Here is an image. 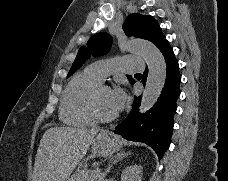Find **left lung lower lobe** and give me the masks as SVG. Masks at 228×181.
<instances>
[{
    "label": "left lung lower lobe",
    "mask_w": 228,
    "mask_h": 181,
    "mask_svg": "<svg viewBox=\"0 0 228 181\" xmlns=\"http://www.w3.org/2000/svg\"><path fill=\"white\" fill-rule=\"evenodd\" d=\"M156 46L162 52L167 68L166 81L161 95L154 106L145 114L138 113L141 96H135L131 112L115 128V133L127 140L148 144L154 149L158 158L161 159L169 146L172 135L176 101L180 95L179 84L181 76L178 62L168 41L164 38ZM147 74L148 70L146 68L142 79L144 85ZM137 79L140 80L141 78Z\"/></svg>",
    "instance_id": "left-lung-lower-lobe-1"
}]
</instances>
